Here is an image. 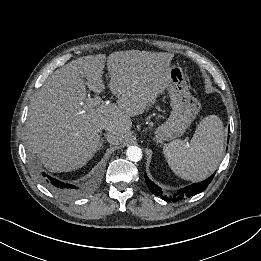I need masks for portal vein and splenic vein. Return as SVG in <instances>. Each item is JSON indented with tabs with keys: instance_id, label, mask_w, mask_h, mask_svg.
Wrapping results in <instances>:
<instances>
[{
	"instance_id": "obj_1",
	"label": "portal vein and splenic vein",
	"mask_w": 261,
	"mask_h": 261,
	"mask_svg": "<svg viewBox=\"0 0 261 261\" xmlns=\"http://www.w3.org/2000/svg\"><path fill=\"white\" fill-rule=\"evenodd\" d=\"M102 102L103 101H102L101 97H98V96L87 99V104L89 107H95L97 105H100Z\"/></svg>"
}]
</instances>
